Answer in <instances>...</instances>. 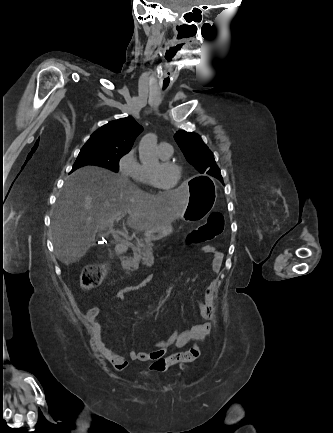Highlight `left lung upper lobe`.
Here are the masks:
<instances>
[{
	"label": "left lung upper lobe",
	"instance_id": "5c2ea615",
	"mask_svg": "<svg viewBox=\"0 0 333 433\" xmlns=\"http://www.w3.org/2000/svg\"><path fill=\"white\" fill-rule=\"evenodd\" d=\"M174 138L186 159L200 173L209 174L219 180L222 178L213 153L199 135L181 130L174 135Z\"/></svg>",
	"mask_w": 333,
	"mask_h": 433
}]
</instances>
